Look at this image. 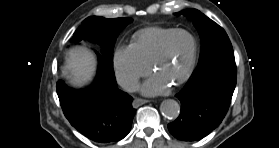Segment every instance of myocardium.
<instances>
[{
	"instance_id": "1",
	"label": "myocardium",
	"mask_w": 279,
	"mask_h": 148,
	"mask_svg": "<svg viewBox=\"0 0 279 148\" xmlns=\"http://www.w3.org/2000/svg\"><path fill=\"white\" fill-rule=\"evenodd\" d=\"M180 33H184L187 34L191 40H192V51L190 54V58L189 61L186 65V67L184 68V70L182 71V73L180 74V76L173 82L174 85H180L183 82H185L189 76L191 75L194 66H195V62H196V57H197V51H198V44H197V40L196 37L194 36V34L192 32H190L187 29H174L173 31H171L162 41L161 46L159 47L156 55L154 56L152 62H151V71L154 72L157 65L163 60V58L166 56L167 53V48H168V44L170 42V40L177 34Z\"/></svg>"
}]
</instances>
